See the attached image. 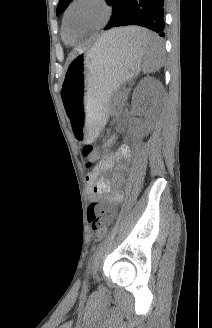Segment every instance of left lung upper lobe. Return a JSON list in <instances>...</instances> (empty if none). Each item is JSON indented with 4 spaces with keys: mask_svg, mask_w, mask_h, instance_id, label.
<instances>
[{
    "mask_svg": "<svg viewBox=\"0 0 212 328\" xmlns=\"http://www.w3.org/2000/svg\"><path fill=\"white\" fill-rule=\"evenodd\" d=\"M73 0H59L56 15L61 14Z\"/></svg>",
    "mask_w": 212,
    "mask_h": 328,
    "instance_id": "obj_1",
    "label": "left lung upper lobe"
}]
</instances>
